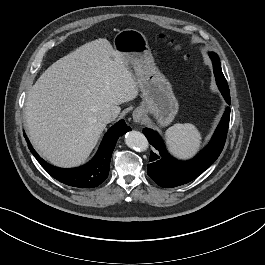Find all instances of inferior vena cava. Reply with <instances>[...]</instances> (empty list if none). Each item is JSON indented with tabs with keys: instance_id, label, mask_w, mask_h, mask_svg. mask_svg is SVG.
Masks as SVG:
<instances>
[{
	"instance_id": "602c4592",
	"label": "inferior vena cava",
	"mask_w": 265,
	"mask_h": 265,
	"mask_svg": "<svg viewBox=\"0 0 265 265\" xmlns=\"http://www.w3.org/2000/svg\"><path fill=\"white\" fill-rule=\"evenodd\" d=\"M99 120L104 122V123H109L112 120L116 118V116L111 112V111H103L99 115Z\"/></svg>"
}]
</instances>
